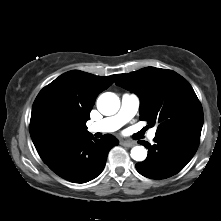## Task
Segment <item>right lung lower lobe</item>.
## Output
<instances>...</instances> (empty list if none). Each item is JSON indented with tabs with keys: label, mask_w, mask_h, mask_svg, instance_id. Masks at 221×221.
Listing matches in <instances>:
<instances>
[{
	"label": "right lung lower lobe",
	"mask_w": 221,
	"mask_h": 221,
	"mask_svg": "<svg viewBox=\"0 0 221 221\" xmlns=\"http://www.w3.org/2000/svg\"><path fill=\"white\" fill-rule=\"evenodd\" d=\"M118 143L112 135L95 140L89 133L53 142L37 151L58 176L73 183H85L102 172L109 150Z\"/></svg>",
	"instance_id": "right-lung-lower-lobe-1"
}]
</instances>
